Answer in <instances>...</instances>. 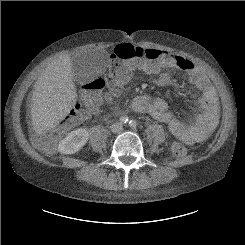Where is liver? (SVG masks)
I'll list each match as a JSON object with an SVG mask.
<instances>
[{"mask_svg": "<svg viewBox=\"0 0 245 245\" xmlns=\"http://www.w3.org/2000/svg\"><path fill=\"white\" fill-rule=\"evenodd\" d=\"M73 76L72 60L63 55L38 77L31 104L32 125L37 134L53 129L74 106L77 94Z\"/></svg>", "mask_w": 245, "mask_h": 245, "instance_id": "liver-1", "label": "liver"}]
</instances>
